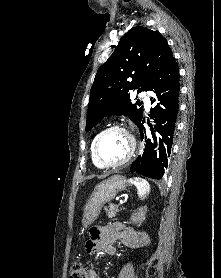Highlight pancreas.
I'll list each match as a JSON object with an SVG mask.
<instances>
[{
	"label": "pancreas",
	"mask_w": 221,
	"mask_h": 278,
	"mask_svg": "<svg viewBox=\"0 0 221 278\" xmlns=\"http://www.w3.org/2000/svg\"><path fill=\"white\" fill-rule=\"evenodd\" d=\"M119 211L120 209L117 205H110L109 209L106 211L107 217L108 218L115 217L116 213Z\"/></svg>",
	"instance_id": "pancreas-1"
}]
</instances>
